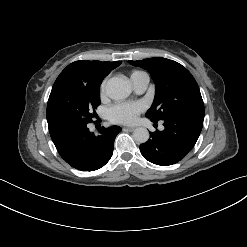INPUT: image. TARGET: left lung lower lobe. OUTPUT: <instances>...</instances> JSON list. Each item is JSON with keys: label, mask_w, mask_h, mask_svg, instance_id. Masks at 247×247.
<instances>
[{"label": "left lung lower lobe", "mask_w": 247, "mask_h": 247, "mask_svg": "<svg viewBox=\"0 0 247 247\" xmlns=\"http://www.w3.org/2000/svg\"><path fill=\"white\" fill-rule=\"evenodd\" d=\"M162 121L165 129L151 132V138L140 145V151L149 162L168 166L179 162L193 148L201 133L203 118L176 115Z\"/></svg>", "instance_id": "1"}]
</instances>
